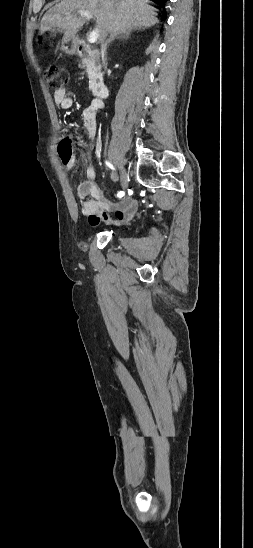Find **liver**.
Listing matches in <instances>:
<instances>
[{
  "instance_id": "1",
  "label": "liver",
  "mask_w": 253,
  "mask_h": 548,
  "mask_svg": "<svg viewBox=\"0 0 253 548\" xmlns=\"http://www.w3.org/2000/svg\"><path fill=\"white\" fill-rule=\"evenodd\" d=\"M147 0H61L51 7L41 20L40 31H63L74 37L85 19L78 11H89L96 20L100 41L108 33L115 35L124 30L146 29L156 23L155 8Z\"/></svg>"
}]
</instances>
